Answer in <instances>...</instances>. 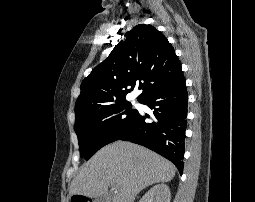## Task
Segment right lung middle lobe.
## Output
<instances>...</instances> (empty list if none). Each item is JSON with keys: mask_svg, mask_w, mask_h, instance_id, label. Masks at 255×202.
<instances>
[{"mask_svg": "<svg viewBox=\"0 0 255 202\" xmlns=\"http://www.w3.org/2000/svg\"><path fill=\"white\" fill-rule=\"evenodd\" d=\"M139 112L129 102L92 111L75 121L80 157L88 160L103 146L118 140L133 124Z\"/></svg>", "mask_w": 255, "mask_h": 202, "instance_id": "1", "label": "right lung middle lobe"}]
</instances>
